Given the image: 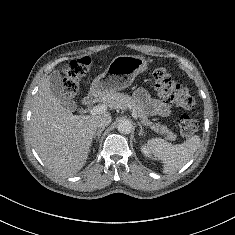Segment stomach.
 <instances>
[{
    "mask_svg": "<svg viewBox=\"0 0 235 235\" xmlns=\"http://www.w3.org/2000/svg\"><path fill=\"white\" fill-rule=\"evenodd\" d=\"M147 61L141 56L119 55L107 69L92 82L90 92L102 97L110 92L129 87L135 77L147 69Z\"/></svg>",
    "mask_w": 235,
    "mask_h": 235,
    "instance_id": "0dacf381",
    "label": "stomach"
}]
</instances>
